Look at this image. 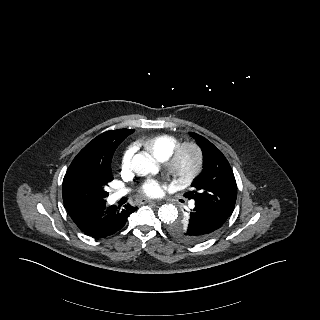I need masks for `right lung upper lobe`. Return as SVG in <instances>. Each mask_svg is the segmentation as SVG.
I'll use <instances>...</instances> for the list:
<instances>
[{
  "label": "right lung upper lobe",
  "instance_id": "right-lung-upper-lobe-1",
  "mask_svg": "<svg viewBox=\"0 0 320 320\" xmlns=\"http://www.w3.org/2000/svg\"><path fill=\"white\" fill-rule=\"evenodd\" d=\"M133 132L134 129H118L100 134L78 153L69 169L96 165L111 168V160L116 148Z\"/></svg>",
  "mask_w": 320,
  "mask_h": 320
}]
</instances>
